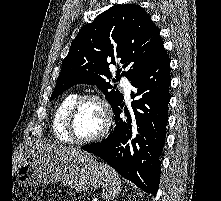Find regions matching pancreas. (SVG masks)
I'll return each instance as SVG.
<instances>
[{
    "label": "pancreas",
    "mask_w": 221,
    "mask_h": 201,
    "mask_svg": "<svg viewBox=\"0 0 221 201\" xmlns=\"http://www.w3.org/2000/svg\"><path fill=\"white\" fill-rule=\"evenodd\" d=\"M81 200V197H79L76 201H80Z\"/></svg>",
    "instance_id": "pancreas-1"
}]
</instances>
